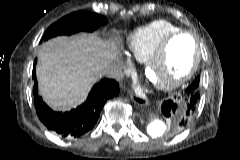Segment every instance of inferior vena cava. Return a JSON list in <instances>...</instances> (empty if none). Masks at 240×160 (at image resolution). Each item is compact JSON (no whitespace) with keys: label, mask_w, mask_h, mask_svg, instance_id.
I'll return each instance as SVG.
<instances>
[{"label":"inferior vena cava","mask_w":240,"mask_h":160,"mask_svg":"<svg viewBox=\"0 0 240 160\" xmlns=\"http://www.w3.org/2000/svg\"><path fill=\"white\" fill-rule=\"evenodd\" d=\"M100 75L108 78H117L119 76V70L115 65H108L100 70Z\"/></svg>","instance_id":"inferior-vena-cava-1"}]
</instances>
